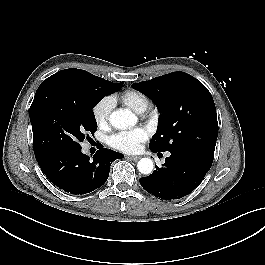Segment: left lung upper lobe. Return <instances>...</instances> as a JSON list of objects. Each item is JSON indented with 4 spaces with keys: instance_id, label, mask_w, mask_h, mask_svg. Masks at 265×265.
<instances>
[{
    "instance_id": "1",
    "label": "left lung upper lobe",
    "mask_w": 265,
    "mask_h": 265,
    "mask_svg": "<svg viewBox=\"0 0 265 265\" xmlns=\"http://www.w3.org/2000/svg\"><path fill=\"white\" fill-rule=\"evenodd\" d=\"M132 87L151 98L161 113L150 150L193 153L213 162L217 114L212 95L200 81L174 72Z\"/></svg>"
}]
</instances>
